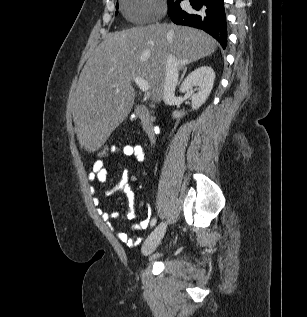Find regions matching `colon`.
<instances>
[{"label": "colon", "mask_w": 307, "mask_h": 317, "mask_svg": "<svg viewBox=\"0 0 307 317\" xmlns=\"http://www.w3.org/2000/svg\"><path fill=\"white\" fill-rule=\"evenodd\" d=\"M115 146L116 145H101L97 150V160L106 163L110 155L113 154V149Z\"/></svg>", "instance_id": "obj_1"}]
</instances>
